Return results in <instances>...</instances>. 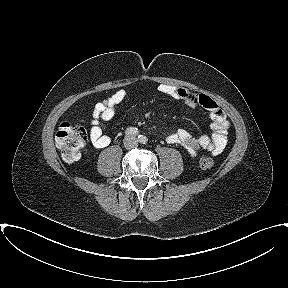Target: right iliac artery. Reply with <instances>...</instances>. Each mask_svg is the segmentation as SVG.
I'll return each instance as SVG.
<instances>
[{
    "label": "right iliac artery",
    "mask_w": 288,
    "mask_h": 288,
    "mask_svg": "<svg viewBox=\"0 0 288 288\" xmlns=\"http://www.w3.org/2000/svg\"><path fill=\"white\" fill-rule=\"evenodd\" d=\"M139 131L135 127H129L126 129L125 134L126 135H138Z\"/></svg>",
    "instance_id": "82829eb1"
}]
</instances>
